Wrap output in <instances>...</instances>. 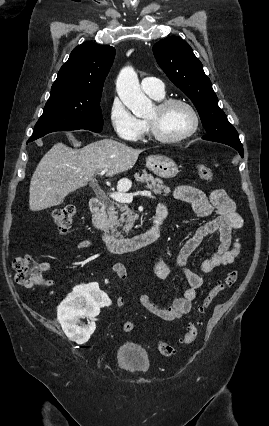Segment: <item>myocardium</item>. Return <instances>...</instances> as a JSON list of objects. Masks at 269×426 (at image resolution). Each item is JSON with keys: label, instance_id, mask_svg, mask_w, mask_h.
<instances>
[{"label": "myocardium", "instance_id": "f54148a6", "mask_svg": "<svg viewBox=\"0 0 269 426\" xmlns=\"http://www.w3.org/2000/svg\"><path fill=\"white\" fill-rule=\"evenodd\" d=\"M173 105H182L190 111L193 118L192 127L182 135L169 137V136L163 135L154 122L146 119L148 134L153 140L158 141L160 143H167V144L179 143L192 137L198 131L200 126V118L194 106L188 101L181 98H167V99L160 100L155 107L158 110V112L162 113Z\"/></svg>", "mask_w": 269, "mask_h": 426}]
</instances>
